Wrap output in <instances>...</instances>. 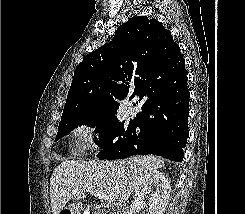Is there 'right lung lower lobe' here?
<instances>
[{
  "label": "right lung lower lobe",
  "instance_id": "98d812e1",
  "mask_svg": "<svg viewBox=\"0 0 245 214\" xmlns=\"http://www.w3.org/2000/svg\"><path fill=\"white\" fill-rule=\"evenodd\" d=\"M142 111L131 120L125 141L108 152V160L154 154L181 162L188 137L187 77L175 84L163 77L153 82Z\"/></svg>",
  "mask_w": 245,
  "mask_h": 214
}]
</instances>
